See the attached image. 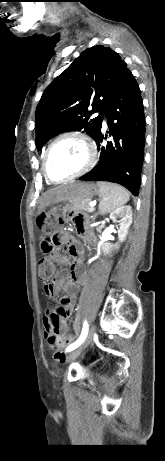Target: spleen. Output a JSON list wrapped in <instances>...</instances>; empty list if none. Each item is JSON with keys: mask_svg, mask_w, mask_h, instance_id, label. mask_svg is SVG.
<instances>
[{"mask_svg": "<svg viewBox=\"0 0 165 461\" xmlns=\"http://www.w3.org/2000/svg\"><path fill=\"white\" fill-rule=\"evenodd\" d=\"M97 186L102 214L110 213L129 201V193L122 186L109 182H98Z\"/></svg>", "mask_w": 165, "mask_h": 461, "instance_id": "obj_1", "label": "spleen"}]
</instances>
